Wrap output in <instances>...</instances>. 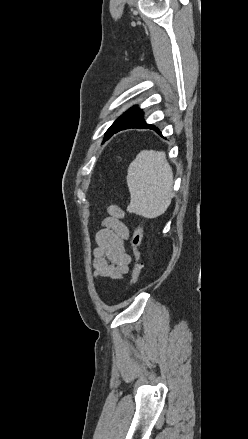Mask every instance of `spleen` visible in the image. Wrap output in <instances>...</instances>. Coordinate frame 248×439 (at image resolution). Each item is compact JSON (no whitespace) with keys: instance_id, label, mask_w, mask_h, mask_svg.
<instances>
[{"instance_id":"3e777b00","label":"spleen","mask_w":248,"mask_h":439,"mask_svg":"<svg viewBox=\"0 0 248 439\" xmlns=\"http://www.w3.org/2000/svg\"><path fill=\"white\" fill-rule=\"evenodd\" d=\"M130 212L147 218L161 216L173 197V171L163 151L142 150L129 165Z\"/></svg>"}]
</instances>
